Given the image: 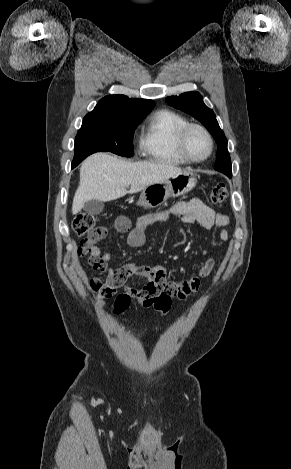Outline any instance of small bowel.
<instances>
[{
	"label": "small bowel",
	"instance_id": "1",
	"mask_svg": "<svg viewBox=\"0 0 291 469\" xmlns=\"http://www.w3.org/2000/svg\"><path fill=\"white\" fill-rule=\"evenodd\" d=\"M169 214L177 216L183 224L197 222L202 228L207 230L215 226L219 227L220 240L226 241L229 238L227 229L229 223L228 217L222 213L216 212L199 198L178 202L171 207L169 212H160L152 216L142 217L135 225H132L127 217L118 216L114 219L110 228L121 233H126L128 244L131 247L138 248L145 244V226L153 222L165 221ZM185 244L186 240L184 236H181L174 243V247H181ZM89 253L91 257L101 259L104 264L111 259L108 252L102 251L95 245L91 247ZM214 265V259L209 257L200 265L194 275L186 280L176 282L166 278V270L161 265L145 267L128 263L116 269H106L104 282H102L100 278H93L90 284H103V287L96 291L97 301L100 304H103L106 299L114 296L119 287H124L127 296H132L133 298L136 296H155L158 293H168L170 299L176 297L184 300L199 290L201 279L208 277L212 273ZM136 280L145 281L144 286L141 288L132 287L130 283ZM151 287L154 288V292L150 291Z\"/></svg>",
	"mask_w": 291,
	"mask_h": 469
}]
</instances>
